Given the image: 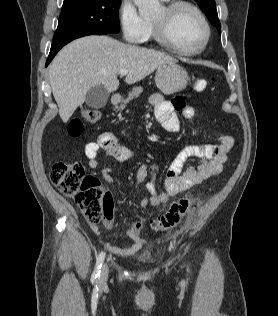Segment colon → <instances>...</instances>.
I'll use <instances>...</instances> for the list:
<instances>
[{
  "mask_svg": "<svg viewBox=\"0 0 278 316\" xmlns=\"http://www.w3.org/2000/svg\"><path fill=\"white\" fill-rule=\"evenodd\" d=\"M207 82L198 79L194 89L198 92L205 90ZM81 115L86 122H97L101 114L98 110L84 108ZM72 136H79L83 131L80 119H73L68 126ZM52 184L61 193L72 198L80 208L88 223L98 224L103 218L105 190L100 181L86 175L83 165L79 162H59L52 166L50 171ZM193 207L191 197H183L174 202L162 215L152 220L151 226L155 231H167L176 227Z\"/></svg>",
  "mask_w": 278,
  "mask_h": 316,
  "instance_id": "colon-1",
  "label": "colon"
}]
</instances>
